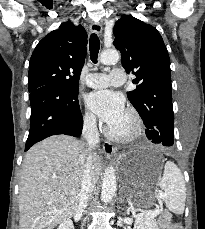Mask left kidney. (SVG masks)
Wrapping results in <instances>:
<instances>
[{
    "label": "left kidney",
    "instance_id": "1",
    "mask_svg": "<svg viewBox=\"0 0 205 229\" xmlns=\"http://www.w3.org/2000/svg\"><path fill=\"white\" fill-rule=\"evenodd\" d=\"M134 229H159L157 222L151 214H138L135 220Z\"/></svg>",
    "mask_w": 205,
    "mask_h": 229
}]
</instances>
